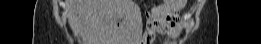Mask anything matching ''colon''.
<instances>
[{"label": "colon", "instance_id": "colon-1", "mask_svg": "<svg viewBox=\"0 0 261 44\" xmlns=\"http://www.w3.org/2000/svg\"><path fill=\"white\" fill-rule=\"evenodd\" d=\"M185 1H174V0H168L165 2V4H169L170 6H183Z\"/></svg>", "mask_w": 261, "mask_h": 44}]
</instances>
